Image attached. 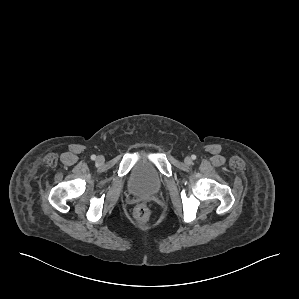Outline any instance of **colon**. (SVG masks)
Returning a JSON list of instances; mask_svg holds the SVG:
<instances>
[{"mask_svg":"<svg viewBox=\"0 0 299 299\" xmlns=\"http://www.w3.org/2000/svg\"><path fill=\"white\" fill-rule=\"evenodd\" d=\"M150 208L147 204L141 203L138 204L133 210V216L139 221H145L150 216Z\"/></svg>","mask_w":299,"mask_h":299,"instance_id":"5ec220e1","label":"colon"}]
</instances>
